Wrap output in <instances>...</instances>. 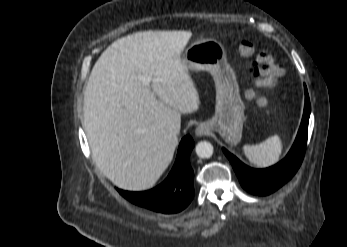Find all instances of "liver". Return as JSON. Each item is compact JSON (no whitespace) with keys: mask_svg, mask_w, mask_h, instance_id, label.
I'll use <instances>...</instances> for the list:
<instances>
[{"mask_svg":"<svg viewBox=\"0 0 347 247\" xmlns=\"http://www.w3.org/2000/svg\"><path fill=\"white\" fill-rule=\"evenodd\" d=\"M190 31H143L122 37L96 61L84 93L92 157L117 187L151 188L178 144L173 126L199 109V94L180 54ZM139 75L148 78L143 83Z\"/></svg>","mask_w":347,"mask_h":247,"instance_id":"liver-1","label":"liver"}]
</instances>
